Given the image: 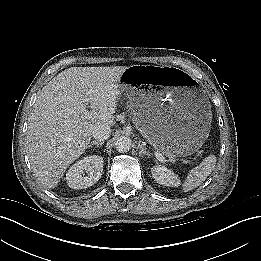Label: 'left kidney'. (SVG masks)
Here are the masks:
<instances>
[{
    "mask_svg": "<svg viewBox=\"0 0 261 261\" xmlns=\"http://www.w3.org/2000/svg\"><path fill=\"white\" fill-rule=\"evenodd\" d=\"M154 180L164 186L177 187L180 184V179L176 173L165 166L157 165L151 169Z\"/></svg>",
    "mask_w": 261,
    "mask_h": 261,
    "instance_id": "obj_1",
    "label": "left kidney"
}]
</instances>
